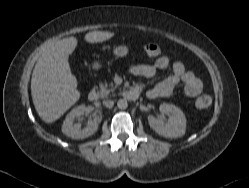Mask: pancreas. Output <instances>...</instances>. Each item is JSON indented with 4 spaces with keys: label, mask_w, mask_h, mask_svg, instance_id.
Here are the masks:
<instances>
[{
    "label": "pancreas",
    "mask_w": 249,
    "mask_h": 188,
    "mask_svg": "<svg viewBox=\"0 0 249 188\" xmlns=\"http://www.w3.org/2000/svg\"><path fill=\"white\" fill-rule=\"evenodd\" d=\"M116 86H113V84L108 85L107 83H101L100 84V96L101 98L107 97L110 92H113L115 90Z\"/></svg>",
    "instance_id": "obj_1"
}]
</instances>
